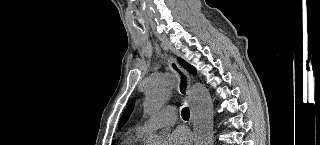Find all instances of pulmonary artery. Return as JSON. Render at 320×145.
I'll return each mask as SVG.
<instances>
[{"instance_id": "1", "label": "pulmonary artery", "mask_w": 320, "mask_h": 145, "mask_svg": "<svg viewBox=\"0 0 320 145\" xmlns=\"http://www.w3.org/2000/svg\"><path fill=\"white\" fill-rule=\"evenodd\" d=\"M175 121L176 111L174 107L168 106L154 115L150 120L137 126L136 131L144 135L149 131L173 125Z\"/></svg>"}]
</instances>
